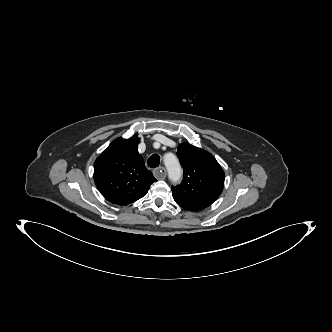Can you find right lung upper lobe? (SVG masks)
Here are the masks:
<instances>
[{
    "label": "right lung upper lobe",
    "mask_w": 332,
    "mask_h": 332,
    "mask_svg": "<svg viewBox=\"0 0 332 332\" xmlns=\"http://www.w3.org/2000/svg\"><path fill=\"white\" fill-rule=\"evenodd\" d=\"M139 138H117L94 163V181L101 194L117 205L140 199L156 181L138 154Z\"/></svg>",
    "instance_id": "cb5924a9"
}]
</instances>
